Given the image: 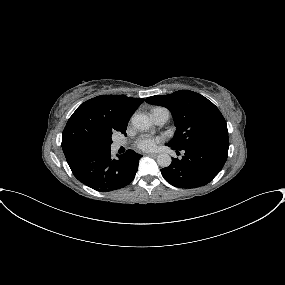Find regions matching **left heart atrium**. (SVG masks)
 <instances>
[{
	"instance_id": "obj_1",
	"label": "left heart atrium",
	"mask_w": 285,
	"mask_h": 285,
	"mask_svg": "<svg viewBox=\"0 0 285 285\" xmlns=\"http://www.w3.org/2000/svg\"><path fill=\"white\" fill-rule=\"evenodd\" d=\"M159 142L160 139L158 137L143 135L137 140L136 147L144 151H149L153 150Z\"/></svg>"
}]
</instances>
